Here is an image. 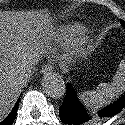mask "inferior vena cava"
I'll use <instances>...</instances> for the list:
<instances>
[{
	"instance_id": "obj_1",
	"label": "inferior vena cava",
	"mask_w": 125,
	"mask_h": 125,
	"mask_svg": "<svg viewBox=\"0 0 125 125\" xmlns=\"http://www.w3.org/2000/svg\"><path fill=\"white\" fill-rule=\"evenodd\" d=\"M36 64L35 59H30L27 63L26 66L24 68L21 69L20 73H19V79L21 81H25L28 79V76L31 72V69L33 68V66Z\"/></svg>"
}]
</instances>
